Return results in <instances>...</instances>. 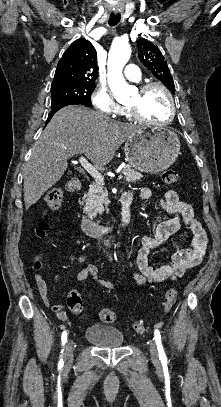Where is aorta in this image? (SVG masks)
Segmentation results:
<instances>
[{
  "label": "aorta",
  "instance_id": "762f6f07",
  "mask_svg": "<svg viewBox=\"0 0 221 407\" xmlns=\"http://www.w3.org/2000/svg\"><path fill=\"white\" fill-rule=\"evenodd\" d=\"M131 55V48L126 42L114 43L109 51L107 70L108 84L118 101L129 98L134 88L125 81L122 70Z\"/></svg>",
  "mask_w": 221,
  "mask_h": 407
}]
</instances>
